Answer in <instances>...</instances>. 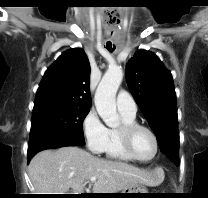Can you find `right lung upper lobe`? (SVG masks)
I'll return each instance as SVG.
<instances>
[{"instance_id": "right-lung-upper-lobe-1", "label": "right lung upper lobe", "mask_w": 208, "mask_h": 198, "mask_svg": "<svg viewBox=\"0 0 208 198\" xmlns=\"http://www.w3.org/2000/svg\"><path fill=\"white\" fill-rule=\"evenodd\" d=\"M90 64L80 48L65 51L47 69L36 93L34 108L51 104L90 107Z\"/></svg>"}]
</instances>
